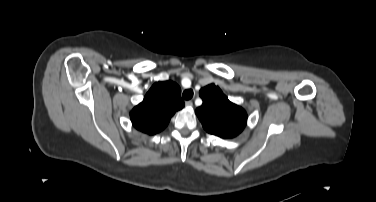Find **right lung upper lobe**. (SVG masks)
I'll return each mask as SVG.
<instances>
[{
  "mask_svg": "<svg viewBox=\"0 0 376 202\" xmlns=\"http://www.w3.org/2000/svg\"><path fill=\"white\" fill-rule=\"evenodd\" d=\"M184 105L181 89L176 83L157 82L143 101L132 109L130 119L137 130L154 135L165 129L171 117Z\"/></svg>",
  "mask_w": 376,
  "mask_h": 202,
  "instance_id": "1",
  "label": "right lung upper lobe"
}]
</instances>
